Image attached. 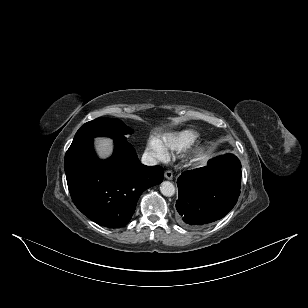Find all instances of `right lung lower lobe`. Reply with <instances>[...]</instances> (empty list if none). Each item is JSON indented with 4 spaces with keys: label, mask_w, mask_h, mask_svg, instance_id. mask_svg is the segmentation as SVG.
<instances>
[{
    "label": "right lung lower lobe",
    "mask_w": 308,
    "mask_h": 308,
    "mask_svg": "<svg viewBox=\"0 0 308 308\" xmlns=\"http://www.w3.org/2000/svg\"><path fill=\"white\" fill-rule=\"evenodd\" d=\"M64 169L76 207L109 228L126 225L142 192L164 177L162 167L141 164L127 141H115L114 154L108 160L97 159L90 138L72 142Z\"/></svg>",
    "instance_id": "obj_1"
}]
</instances>
